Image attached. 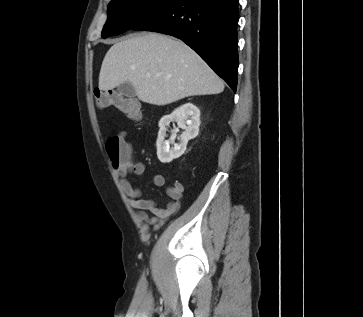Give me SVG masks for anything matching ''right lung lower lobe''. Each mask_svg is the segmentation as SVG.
Returning <instances> with one entry per match:
<instances>
[{
  "instance_id": "right-lung-lower-lobe-1",
  "label": "right lung lower lobe",
  "mask_w": 363,
  "mask_h": 317,
  "mask_svg": "<svg viewBox=\"0 0 363 317\" xmlns=\"http://www.w3.org/2000/svg\"><path fill=\"white\" fill-rule=\"evenodd\" d=\"M239 0H177L136 25L184 41L236 92Z\"/></svg>"
}]
</instances>
